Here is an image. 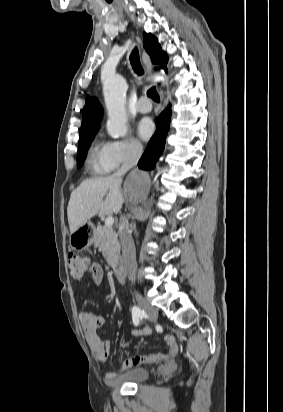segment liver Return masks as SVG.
Segmentation results:
<instances>
[{
    "mask_svg": "<svg viewBox=\"0 0 283 412\" xmlns=\"http://www.w3.org/2000/svg\"><path fill=\"white\" fill-rule=\"evenodd\" d=\"M123 202L121 180L113 175L84 180L70 195L67 207L70 233L95 215L117 214Z\"/></svg>",
    "mask_w": 283,
    "mask_h": 412,
    "instance_id": "liver-1",
    "label": "liver"
}]
</instances>
